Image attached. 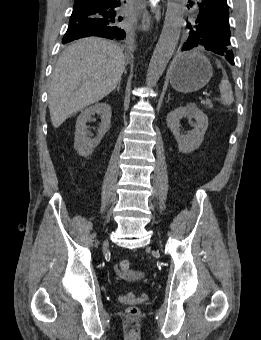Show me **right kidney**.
Instances as JSON below:
<instances>
[{
  "mask_svg": "<svg viewBox=\"0 0 261 340\" xmlns=\"http://www.w3.org/2000/svg\"><path fill=\"white\" fill-rule=\"evenodd\" d=\"M111 107L106 103H99L86 108L79 115L76 121L74 149L79 155L87 157L92 154L94 148L100 143L101 138L110 129L111 124ZM98 114L101 117V124L98 129L97 137H88V127L86 122L92 115Z\"/></svg>",
  "mask_w": 261,
  "mask_h": 340,
  "instance_id": "ca27d5eb",
  "label": "right kidney"
}]
</instances>
